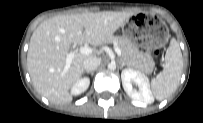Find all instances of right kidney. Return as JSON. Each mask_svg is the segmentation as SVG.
I'll return each mask as SVG.
<instances>
[{
  "label": "right kidney",
  "mask_w": 203,
  "mask_h": 123,
  "mask_svg": "<svg viewBox=\"0 0 203 123\" xmlns=\"http://www.w3.org/2000/svg\"><path fill=\"white\" fill-rule=\"evenodd\" d=\"M90 85V79L84 77L78 80L71 88V94L74 96L84 93Z\"/></svg>",
  "instance_id": "1"
}]
</instances>
